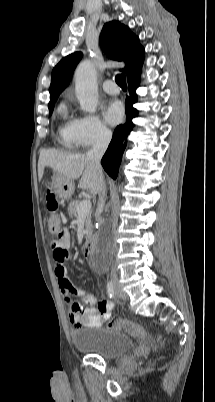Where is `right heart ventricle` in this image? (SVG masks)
I'll list each match as a JSON object with an SVG mask.
<instances>
[{
    "mask_svg": "<svg viewBox=\"0 0 215 402\" xmlns=\"http://www.w3.org/2000/svg\"><path fill=\"white\" fill-rule=\"evenodd\" d=\"M58 114L61 120L58 126L59 141L63 146L71 148L75 145L72 134V125L74 120L69 118L68 110L64 103L59 105Z\"/></svg>",
    "mask_w": 215,
    "mask_h": 402,
    "instance_id": "right-heart-ventricle-1",
    "label": "right heart ventricle"
}]
</instances>
